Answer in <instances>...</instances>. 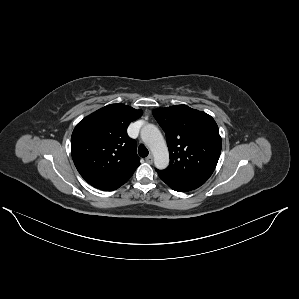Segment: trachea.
<instances>
[{"mask_svg":"<svg viewBox=\"0 0 299 299\" xmlns=\"http://www.w3.org/2000/svg\"><path fill=\"white\" fill-rule=\"evenodd\" d=\"M149 151L148 149L143 145L141 144L139 147H138V154L141 156V157H146L148 155Z\"/></svg>","mask_w":299,"mask_h":299,"instance_id":"obj_1","label":"trachea"}]
</instances>
